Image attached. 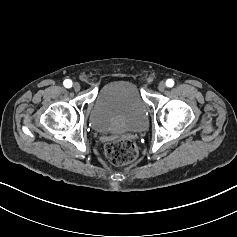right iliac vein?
Returning a JSON list of instances; mask_svg holds the SVG:
<instances>
[{
  "label": "right iliac vein",
  "instance_id": "obj_1",
  "mask_svg": "<svg viewBox=\"0 0 237 237\" xmlns=\"http://www.w3.org/2000/svg\"><path fill=\"white\" fill-rule=\"evenodd\" d=\"M73 88H74V90H75L76 92H78V91L80 90L81 86H80L79 83H74V84H73Z\"/></svg>",
  "mask_w": 237,
  "mask_h": 237
}]
</instances>
